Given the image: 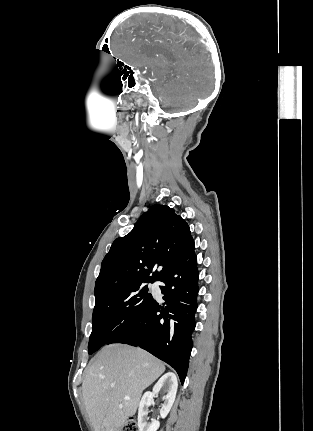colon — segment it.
I'll list each match as a JSON object with an SVG mask.
<instances>
[{"instance_id": "1", "label": "colon", "mask_w": 313, "mask_h": 431, "mask_svg": "<svg viewBox=\"0 0 313 431\" xmlns=\"http://www.w3.org/2000/svg\"><path fill=\"white\" fill-rule=\"evenodd\" d=\"M121 431H139L138 424L134 419L127 420Z\"/></svg>"}]
</instances>
